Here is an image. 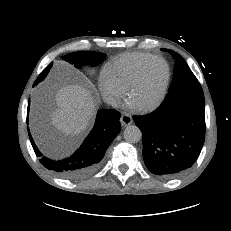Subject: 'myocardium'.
<instances>
[{
  "instance_id": "myocardium-1",
  "label": "myocardium",
  "mask_w": 231,
  "mask_h": 231,
  "mask_svg": "<svg viewBox=\"0 0 231 231\" xmlns=\"http://www.w3.org/2000/svg\"><path fill=\"white\" fill-rule=\"evenodd\" d=\"M156 60L161 61L165 66L164 82L162 84V87H161L157 97L153 101H151V102H149V103H147L145 105L138 106V108L140 110H142V111H148V110H152V109L156 108L162 102V100L164 99L165 94H166L167 89H168L169 81H170V68H169V65H168L167 61L164 58L160 57V56H152L149 59H147L139 67V69L137 70L135 76L133 77V79L131 80V82L129 83V85H128L127 89H126L127 97L130 98L133 90L135 89V87L141 81L143 73H144L145 69L147 68V66L151 62L156 61Z\"/></svg>"
}]
</instances>
